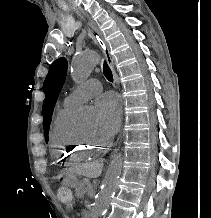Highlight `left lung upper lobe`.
Returning <instances> with one entry per match:
<instances>
[{
	"instance_id": "left-lung-upper-lobe-1",
	"label": "left lung upper lobe",
	"mask_w": 211,
	"mask_h": 218,
	"mask_svg": "<svg viewBox=\"0 0 211 218\" xmlns=\"http://www.w3.org/2000/svg\"><path fill=\"white\" fill-rule=\"evenodd\" d=\"M67 71V60L59 58L50 66V70L43 84V90L46 95L43 102V126L46 142L48 141V131L51 123L53 108L56 103L59 92L63 86Z\"/></svg>"
}]
</instances>
